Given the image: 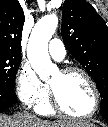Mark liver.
<instances>
[{
    "label": "liver",
    "instance_id": "liver-1",
    "mask_svg": "<svg viewBox=\"0 0 108 127\" xmlns=\"http://www.w3.org/2000/svg\"><path fill=\"white\" fill-rule=\"evenodd\" d=\"M91 123L81 120L48 121L41 120L27 113H17L13 116L0 114V127H81Z\"/></svg>",
    "mask_w": 108,
    "mask_h": 127
}]
</instances>
